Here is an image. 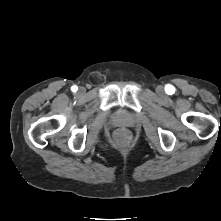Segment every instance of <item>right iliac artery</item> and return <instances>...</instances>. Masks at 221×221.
Returning a JSON list of instances; mask_svg holds the SVG:
<instances>
[{"mask_svg": "<svg viewBox=\"0 0 221 221\" xmlns=\"http://www.w3.org/2000/svg\"><path fill=\"white\" fill-rule=\"evenodd\" d=\"M71 89H72L73 92H76L78 88H77V86H72Z\"/></svg>", "mask_w": 221, "mask_h": 221, "instance_id": "obj_1", "label": "right iliac artery"}]
</instances>
